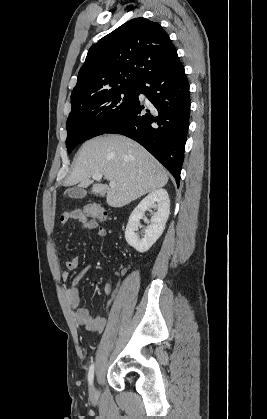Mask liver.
<instances>
[{"instance_id":"6515ba94","label":"liver","mask_w":267,"mask_h":419,"mask_svg":"<svg viewBox=\"0 0 267 419\" xmlns=\"http://www.w3.org/2000/svg\"><path fill=\"white\" fill-rule=\"evenodd\" d=\"M101 173L116 186L93 184V174ZM168 174L140 144L122 135H104L85 142L66 186L93 184L91 193L106 195L111 207H123L133 200L164 187Z\"/></svg>"}]
</instances>
